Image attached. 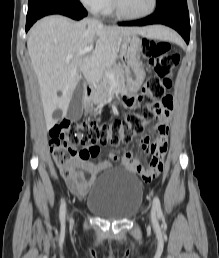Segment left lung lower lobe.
Segmentation results:
<instances>
[{
  "label": "left lung lower lobe",
  "mask_w": 219,
  "mask_h": 258,
  "mask_svg": "<svg viewBox=\"0 0 219 258\" xmlns=\"http://www.w3.org/2000/svg\"><path fill=\"white\" fill-rule=\"evenodd\" d=\"M123 26H144L150 24H164L178 31L189 43L190 21L187 3L168 4L141 20L118 23Z\"/></svg>",
  "instance_id": "left-lung-lower-lobe-1"
}]
</instances>
